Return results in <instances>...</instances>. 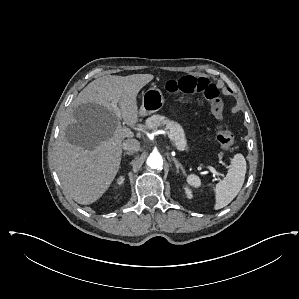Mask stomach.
<instances>
[{"label": "stomach", "instance_id": "0dacf381", "mask_svg": "<svg viewBox=\"0 0 299 299\" xmlns=\"http://www.w3.org/2000/svg\"><path fill=\"white\" fill-rule=\"evenodd\" d=\"M164 105V96L160 89L151 87L142 93L140 116H147L159 111Z\"/></svg>", "mask_w": 299, "mask_h": 299}]
</instances>
